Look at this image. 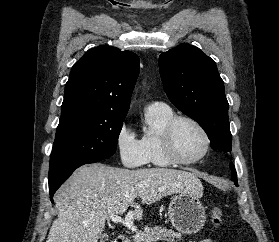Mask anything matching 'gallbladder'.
I'll use <instances>...</instances> for the list:
<instances>
[{"label":"gallbladder","instance_id":"bac80fb5","mask_svg":"<svg viewBox=\"0 0 279 242\" xmlns=\"http://www.w3.org/2000/svg\"><path fill=\"white\" fill-rule=\"evenodd\" d=\"M107 239H108V235H107V234H103V235L101 236V241H102V242H105Z\"/></svg>","mask_w":279,"mask_h":242}]
</instances>
